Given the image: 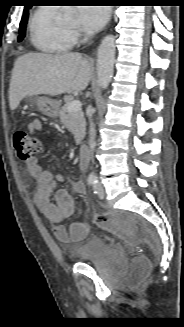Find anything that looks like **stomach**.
Returning <instances> with one entry per match:
<instances>
[{
	"label": "stomach",
	"instance_id": "0dacf381",
	"mask_svg": "<svg viewBox=\"0 0 184 327\" xmlns=\"http://www.w3.org/2000/svg\"><path fill=\"white\" fill-rule=\"evenodd\" d=\"M36 104L39 111L51 118H56L59 114L60 104L57 100L48 97H38Z\"/></svg>",
	"mask_w": 184,
	"mask_h": 327
}]
</instances>
